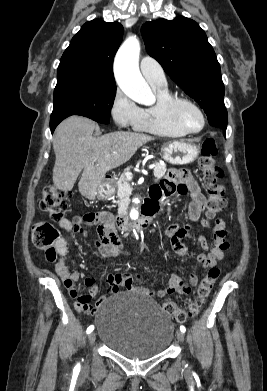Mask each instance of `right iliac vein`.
<instances>
[{
    "instance_id": "right-iliac-vein-1",
    "label": "right iliac vein",
    "mask_w": 267,
    "mask_h": 391,
    "mask_svg": "<svg viewBox=\"0 0 267 391\" xmlns=\"http://www.w3.org/2000/svg\"><path fill=\"white\" fill-rule=\"evenodd\" d=\"M96 339V333L91 332L88 337L89 344L92 345L95 342Z\"/></svg>"
}]
</instances>
